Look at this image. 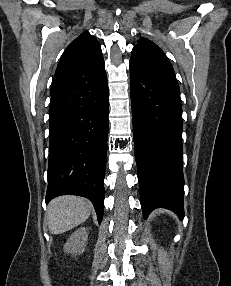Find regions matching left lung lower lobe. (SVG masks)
Wrapping results in <instances>:
<instances>
[{
  "label": "left lung lower lobe",
  "instance_id": "1",
  "mask_svg": "<svg viewBox=\"0 0 231 286\" xmlns=\"http://www.w3.org/2000/svg\"><path fill=\"white\" fill-rule=\"evenodd\" d=\"M135 159L143 215L165 207L184 216L182 105L174 74L130 60Z\"/></svg>",
  "mask_w": 231,
  "mask_h": 286
}]
</instances>
